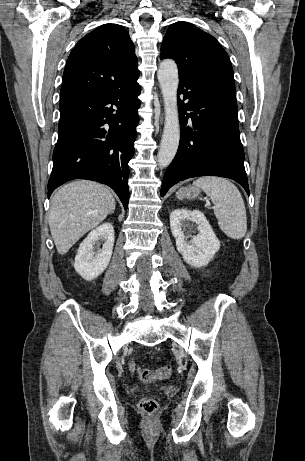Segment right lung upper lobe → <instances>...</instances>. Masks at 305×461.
<instances>
[{
  "label": "right lung upper lobe",
  "mask_w": 305,
  "mask_h": 461,
  "mask_svg": "<svg viewBox=\"0 0 305 461\" xmlns=\"http://www.w3.org/2000/svg\"><path fill=\"white\" fill-rule=\"evenodd\" d=\"M135 47L125 28L104 24L81 40L66 63L60 103L124 88L139 77Z\"/></svg>",
  "instance_id": "1"
}]
</instances>
